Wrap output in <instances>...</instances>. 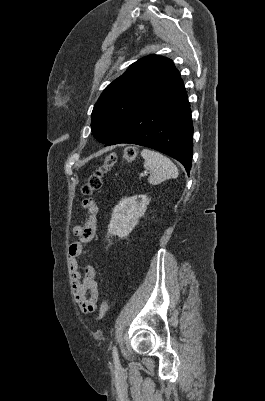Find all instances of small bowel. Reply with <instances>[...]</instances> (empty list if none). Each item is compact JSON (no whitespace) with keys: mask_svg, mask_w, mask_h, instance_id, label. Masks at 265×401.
Segmentation results:
<instances>
[{"mask_svg":"<svg viewBox=\"0 0 265 401\" xmlns=\"http://www.w3.org/2000/svg\"><path fill=\"white\" fill-rule=\"evenodd\" d=\"M82 207L87 212L88 217L84 223L76 224L73 228V233L78 237V240L69 247L70 271L75 301L83 313L90 314L96 311L99 297L97 271L93 266H86L82 275L79 258L84 245L95 236L98 204L94 198H87L82 202Z\"/></svg>","mask_w":265,"mask_h":401,"instance_id":"small-bowel-1","label":"small bowel"}]
</instances>
